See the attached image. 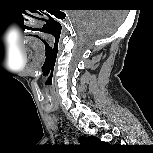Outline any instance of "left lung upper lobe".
<instances>
[{
	"instance_id": "left-lung-upper-lobe-1",
	"label": "left lung upper lobe",
	"mask_w": 153,
	"mask_h": 153,
	"mask_svg": "<svg viewBox=\"0 0 153 153\" xmlns=\"http://www.w3.org/2000/svg\"><path fill=\"white\" fill-rule=\"evenodd\" d=\"M80 144L86 147H102L107 145V143L100 141L98 138L91 136V137H83L80 138Z\"/></svg>"
}]
</instances>
